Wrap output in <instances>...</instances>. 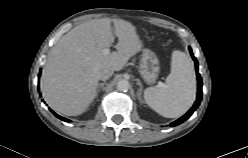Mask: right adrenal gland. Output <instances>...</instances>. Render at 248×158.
Masks as SVG:
<instances>
[{"label":"right adrenal gland","instance_id":"obj_1","mask_svg":"<svg viewBox=\"0 0 248 158\" xmlns=\"http://www.w3.org/2000/svg\"><path fill=\"white\" fill-rule=\"evenodd\" d=\"M105 84H106V81H104V82L98 84L96 95L98 94V92L100 91V89L104 90V85H105Z\"/></svg>","mask_w":248,"mask_h":158}]
</instances>
